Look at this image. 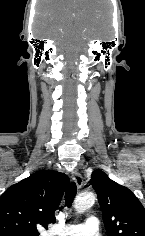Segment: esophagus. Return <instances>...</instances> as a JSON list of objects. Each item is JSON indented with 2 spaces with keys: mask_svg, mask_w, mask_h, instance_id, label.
I'll list each match as a JSON object with an SVG mask.
<instances>
[{
  "mask_svg": "<svg viewBox=\"0 0 145 236\" xmlns=\"http://www.w3.org/2000/svg\"><path fill=\"white\" fill-rule=\"evenodd\" d=\"M72 179L79 188L82 187L83 179H82L81 174L78 171L75 170L72 172Z\"/></svg>",
  "mask_w": 145,
  "mask_h": 236,
  "instance_id": "obj_1",
  "label": "esophagus"
}]
</instances>
